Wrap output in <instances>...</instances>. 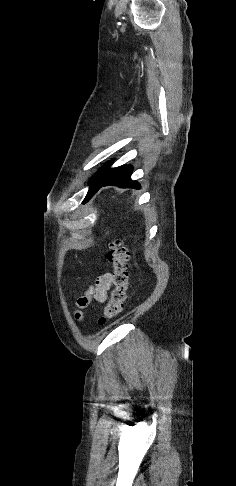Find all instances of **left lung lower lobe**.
Returning <instances> with one entry per match:
<instances>
[{"label":"left lung lower lobe","instance_id":"left-lung-lower-lobe-1","mask_svg":"<svg viewBox=\"0 0 236 486\" xmlns=\"http://www.w3.org/2000/svg\"><path fill=\"white\" fill-rule=\"evenodd\" d=\"M132 167L123 165L113 168L108 176L99 184L97 191L103 186L115 185L120 188H140L136 181H132L130 176Z\"/></svg>","mask_w":236,"mask_h":486}]
</instances>
